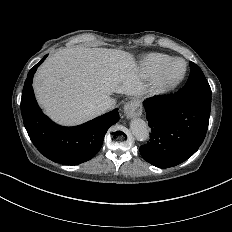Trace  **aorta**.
I'll use <instances>...</instances> for the list:
<instances>
[{"instance_id": "762f6f07", "label": "aorta", "mask_w": 232, "mask_h": 232, "mask_svg": "<svg viewBox=\"0 0 232 232\" xmlns=\"http://www.w3.org/2000/svg\"><path fill=\"white\" fill-rule=\"evenodd\" d=\"M130 129L134 135V137L138 141H146L149 138V126L147 123L141 119V118H136L133 119L130 123Z\"/></svg>"}]
</instances>
